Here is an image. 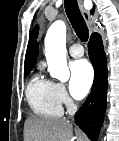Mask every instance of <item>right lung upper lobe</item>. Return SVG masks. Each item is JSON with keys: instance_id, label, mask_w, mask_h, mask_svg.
Masks as SVG:
<instances>
[{"instance_id": "obj_1", "label": "right lung upper lobe", "mask_w": 119, "mask_h": 141, "mask_svg": "<svg viewBox=\"0 0 119 141\" xmlns=\"http://www.w3.org/2000/svg\"><path fill=\"white\" fill-rule=\"evenodd\" d=\"M91 14H93V10L91 11ZM36 38H37V29H34L30 36V40L27 47L24 71H31L32 67L36 62V58L38 55V44L36 42Z\"/></svg>"}]
</instances>
